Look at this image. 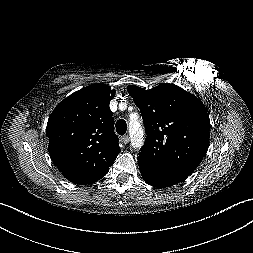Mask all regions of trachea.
Listing matches in <instances>:
<instances>
[{
  "label": "trachea",
  "mask_w": 253,
  "mask_h": 253,
  "mask_svg": "<svg viewBox=\"0 0 253 253\" xmlns=\"http://www.w3.org/2000/svg\"><path fill=\"white\" fill-rule=\"evenodd\" d=\"M116 132L119 134V135H124L126 133V130H127V124H126V121L123 120V119H120L116 122Z\"/></svg>",
  "instance_id": "trachea-1"
}]
</instances>
